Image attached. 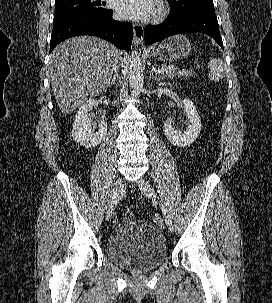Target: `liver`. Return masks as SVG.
<instances>
[{"instance_id":"obj_1","label":"liver","mask_w":272,"mask_h":303,"mask_svg":"<svg viewBox=\"0 0 272 303\" xmlns=\"http://www.w3.org/2000/svg\"><path fill=\"white\" fill-rule=\"evenodd\" d=\"M123 52L92 36L60 43L50 54L49 73L59 109L69 114L106 90Z\"/></svg>"}]
</instances>
